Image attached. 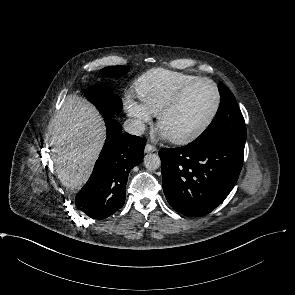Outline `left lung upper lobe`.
<instances>
[{
	"label": "left lung upper lobe",
	"mask_w": 295,
	"mask_h": 295,
	"mask_svg": "<svg viewBox=\"0 0 295 295\" xmlns=\"http://www.w3.org/2000/svg\"><path fill=\"white\" fill-rule=\"evenodd\" d=\"M221 103L215 118L208 128L191 144L199 145L211 141H224L244 148L246 126L243 115L231 91L223 84H218Z\"/></svg>",
	"instance_id": "5c2ea615"
}]
</instances>
